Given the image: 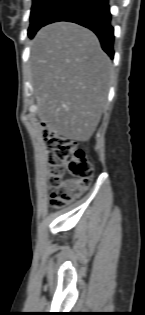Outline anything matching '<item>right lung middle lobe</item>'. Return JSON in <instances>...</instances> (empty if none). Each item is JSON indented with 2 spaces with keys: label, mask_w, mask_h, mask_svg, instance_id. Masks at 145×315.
Returning <instances> with one entry per match:
<instances>
[{
  "label": "right lung middle lobe",
  "mask_w": 145,
  "mask_h": 315,
  "mask_svg": "<svg viewBox=\"0 0 145 315\" xmlns=\"http://www.w3.org/2000/svg\"><path fill=\"white\" fill-rule=\"evenodd\" d=\"M66 0H33L28 36L32 38Z\"/></svg>",
  "instance_id": "dd1d6c3e"
}]
</instances>
